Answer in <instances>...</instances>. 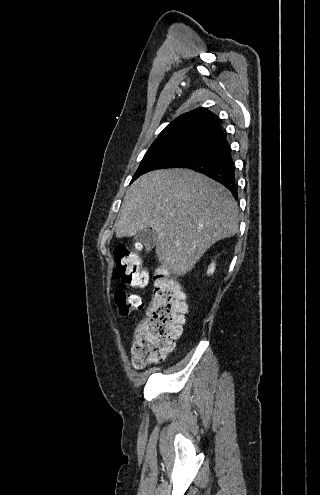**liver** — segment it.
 Here are the masks:
<instances>
[{"label": "liver", "mask_w": 320, "mask_h": 495, "mask_svg": "<svg viewBox=\"0 0 320 495\" xmlns=\"http://www.w3.org/2000/svg\"><path fill=\"white\" fill-rule=\"evenodd\" d=\"M238 204L215 180L188 169L156 170L127 191L116 224V237H132L151 227L156 255L177 276L189 272L214 243L234 236Z\"/></svg>", "instance_id": "liver-1"}]
</instances>
